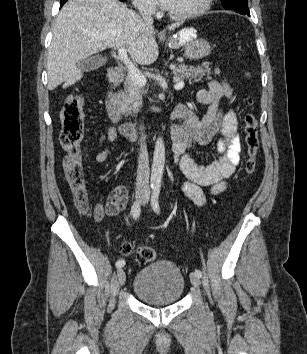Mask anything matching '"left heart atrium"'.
<instances>
[{
	"label": "left heart atrium",
	"instance_id": "left-heart-atrium-1",
	"mask_svg": "<svg viewBox=\"0 0 307 354\" xmlns=\"http://www.w3.org/2000/svg\"><path fill=\"white\" fill-rule=\"evenodd\" d=\"M159 3L164 7V8H169L171 5L172 0H158Z\"/></svg>",
	"mask_w": 307,
	"mask_h": 354
}]
</instances>
